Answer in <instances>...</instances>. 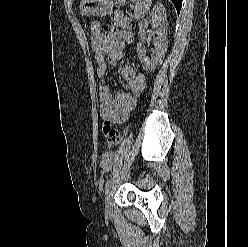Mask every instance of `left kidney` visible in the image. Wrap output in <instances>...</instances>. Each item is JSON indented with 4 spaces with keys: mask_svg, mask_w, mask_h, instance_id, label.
I'll list each match as a JSON object with an SVG mask.
<instances>
[{
    "mask_svg": "<svg viewBox=\"0 0 248 247\" xmlns=\"http://www.w3.org/2000/svg\"><path fill=\"white\" fill-rule=\"evenodd\" d=\"M154 24L157 29L158 37L154 39V49L152 50L151 58L146 55V49L143 46L144 33L149 24ZM167 13L165 7L161 3H157L152 9L149 16L139 23L138 36L140 42L137 44V55L143 68L147 71H152L159 66L167 51Z\"/></svg>",
    "mask_w": 248,
    "mask_h": 247,
    "instance_id": "5707ae66",
    "label": "left kidney"
}]
</instances>
